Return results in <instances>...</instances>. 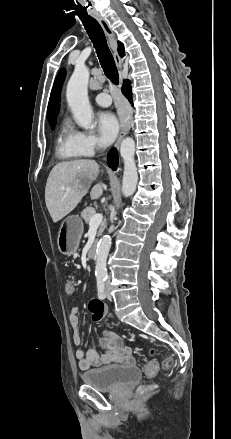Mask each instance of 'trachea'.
<instances>
[{
	"label": "trachea",
	"mask_w": 231,
	"mask_h": 439,
	"mask_svg": "<svg viewBox=\"0 0 231 439\" xmlns=\"http://www.w3.org/2000/svg\"><path fill=\"white\" fill-rule=\"evenodd\" d=\"M83 25L94 44L97 56L99 58L101 67L106 75V77L113 83H119V74L117 67L115 65L112 53L107 45V40L102 27L96 19L93 17H82Z\"/></svg>",
	"instance_id": "3493384b"
}]
</instances>
